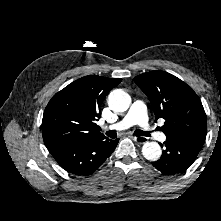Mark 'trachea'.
I'll return each instance as SVG.
<instances>
[{"label": "trachea", "mask_w": 221, "mask_h": 221, "mask_svg": "<svg viewBox=\"0 0 221 221\" xmlns=\"http://www.w3.org/2000/svg\"><path fill=\"white\" fill-rule=\"evenodd\" d=\"M134 133L137 136H146V137L150 136L149 132L142 131V130H135ZM106 135L110 138H115L117 136V133L115 130H111V131H107Z\"/></svg>", "instance_id": "1"}]
</instances>
